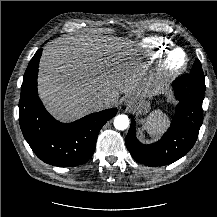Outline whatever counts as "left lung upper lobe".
I'll return each instance as SVG.
<instances>
[{"mask_svg":"<svg viewBox=\"0 0 217 217\" xmlns=\"http://www.w3.org/2000/svg\"><path fill=\"white\" fill-rule=\"evenodd\" d=\"M190 75L197 80L199 83L205 85V77L201 67L200 61L197 59L193 65Z\"/></svg>","mask_w":217,"mask_h":217,"instance_id":"1","label":"left lung upper lobe"}]
</instances>
